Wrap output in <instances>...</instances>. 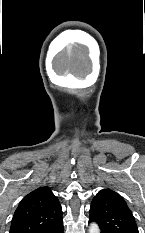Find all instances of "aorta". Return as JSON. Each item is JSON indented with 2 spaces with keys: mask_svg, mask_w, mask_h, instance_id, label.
Masks as SVG:
<instances>
[{
  "mask_svg": "<svg viewBox=\"0 0 145 233\" xmlns=\"http://www.w3.org/2000/svg\"><path fill=\"white\" fill-rule=\"evenodd\" d=\"M89 233H100V229L96 223H91L88 229Z\"/></svg>",
  "mask_w": 145,
  "mask_h": 233,
  "instance_id": "1",
  "label": "aorta"
}]
</instances>
